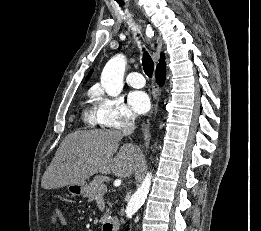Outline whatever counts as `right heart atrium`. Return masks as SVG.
Returning a JSON list of instances; mask_svg holds the SVG:
<instances>
[{"label":"right heart atrium","instance_id":"d8ad5b80","mask_svg":"<svg viewBox=\"0 0 261 231\" xmlns=\"http://www.w3.org/2000/svg\"><path fill=\"white\" fill-rule=\"evenodd\" d=\"M90 93L96 100L97 117L102 126L125 130L134 124L135 115L122 98L108 96L100 87L92 88Z\"/></svg>","mask_w":261,"mask_h":231}]
</instances>
